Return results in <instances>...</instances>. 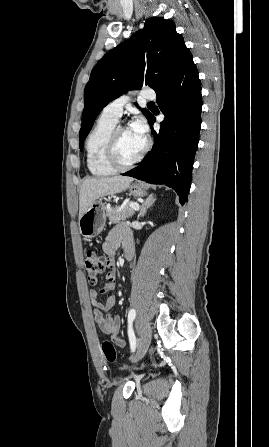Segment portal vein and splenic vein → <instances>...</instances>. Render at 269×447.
Returning a JSON list of instances; mask_svg holds the SVG:
<instances>
[{
  "mask_svg": "<svg viewBox=\"0 0 269 447\" xmlns=\"http://www.w3.org/2000/svg\"><path fill=\"white\" fill-rule=\"evenodd\" d=\"M130 208H133V210H135V212H138L140 206L139 204H137V202H130L129 204Z\"/></svg>",
  "mask_w": 269,
  "mask_h": 447,
  "instance_id": "1",
  "label": "portal vein and splenic vein"
}]
</instances>
